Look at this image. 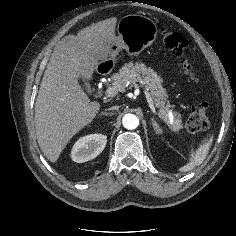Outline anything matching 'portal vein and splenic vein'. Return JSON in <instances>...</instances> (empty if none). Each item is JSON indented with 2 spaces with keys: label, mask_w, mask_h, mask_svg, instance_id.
I'll list each match as a JSON object with an SVG mask.
<instances>
[{
  "label": "portal vein and splenic vein",
  "mask_w": 236,
  "mask_h": 236,
  "mask_svg": "<svg viewBox=\"0 0 236 236\" xmlns=\"http://www.w3.org/2000/svg\"><path fill=\"white\" fill-rule=\"evenodd\" d=\"M118 91H119V89L116 86H113V87H109L106 90L105 94H106L107 97H114V96L117 95ZM144 94H145V97L147 99V102L149 104V107H150L151 111L155 115H157V112H156V109H155V106H154V103H153V99H152L150 93L148 91L144 90Z\"/></svg>",
  "instance_id": "obj_1"
}]
</instances>
